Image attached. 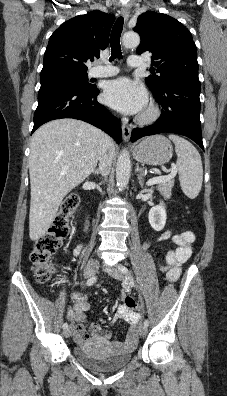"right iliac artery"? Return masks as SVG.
<instances>
[{"label": "right iliac artery", "mask_w": 227, "mask_h": 396, "mask_svg": "<svg viewBox=\"0 0 227 396\" xmlns=\"http://www.w3.org/2000/svg\"><path fill=\"white\" fill-rule=\"evenodd\" d=\"M96 280H97V277L96 276H93V277H91V278H89L88 280H87V286H91V285H93L95 282H96ZM68 328V324L67 323H64L63 324V329H67Z\"/></svg>", "instance_id": "right-iliac-artery-1"}]
</instances>
